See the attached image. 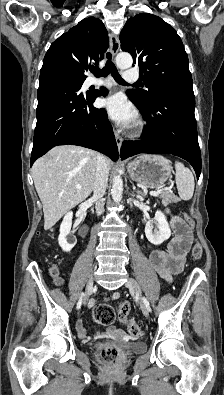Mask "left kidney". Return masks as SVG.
<instances>
[{
  "mask_svg": "<svg viewBox=\"0 0 224 395\" xmlns=\"http://www.w3.org/2000/svg\"><path fill=\"white\" fill-rule=\"evenodd\" d=\"M153 224L157 229L153 230ZM145 235L147 239L154 245H159L171 236V230L165 215L158 210L154 219L146 223Z\"/></svg>",
  "mask_w": 224,
  "mask_h": 395,
  "instance_id": "obj_1",
  "label": "left kidney"
}]
</instances>
